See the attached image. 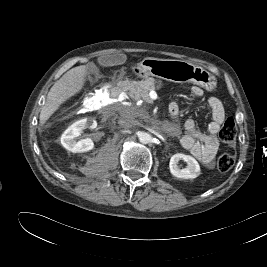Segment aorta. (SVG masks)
Wrapping results in <instances>:
<instances>
[{"label": "aorta", "mask_w": 267, "mask_h": 267, "mask_svg": "<svg viewBox=\"0 0 267 267\" xmlns=\"http://www.w3.org/2000/svg\"><path fill=\"white\" fill-rule=\"evenodd\" d=\"M152 136L147 132H142L139 134V141L143 144L151 142Z\"/></svg>", "instance_id": "1"}]
</instances>
